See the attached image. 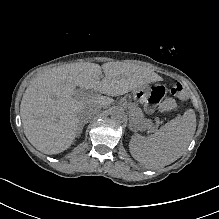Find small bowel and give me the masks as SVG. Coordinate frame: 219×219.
<instances>
[{"label":"small bowel","mask_w":219,"mask_h":219,"mask_svg":"<svg viewBox=\"0 0 219 219\" xmlns=\"http://www.w3.org/2000/svg\"><path fill=\"white\" fill-rule=\"evenodd\" d=\"M164 91H165L164 88L160 87V88L157 89V92H156V93H157L158 95H162V94L164 93ZM153 109H154V108H153V105H150L149 108H148V110H149L150 112H152Z\"/></svg>","instance_id":"c3829d8e"}]
</instances>
